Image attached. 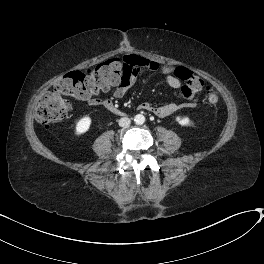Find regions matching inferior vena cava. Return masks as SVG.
Listing matches in <instances>:
<instances>
[{
    "mask_svg": "<svg viewBox=\"0 0 264 264\" xmlns=\"http://www.w3.org/2000/svg\"><path fill=\"white\" fill-rule=\"evenodd\" d=\"M131 123V120L128 117H123L118 120V124L121 127H127Z\"/></svg>",
    "mask_w": 264,
    "mask_h": 264,
    "instance_id": "inferior-vena-cava-1",
    "label": "inferior vena cava"
}]
</instances>
